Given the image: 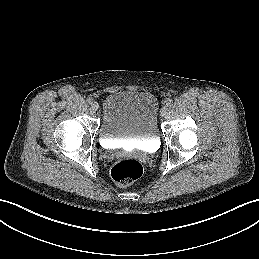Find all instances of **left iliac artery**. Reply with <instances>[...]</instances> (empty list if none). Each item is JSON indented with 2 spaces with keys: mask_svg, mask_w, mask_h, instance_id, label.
Segmentation results:
<instances>
[{
  "mask_svg": "<svg viewBox=\"0 0 259 259\" xmlns=\"http://www.w3.org/2000/svg\"><path fill=\"white\" fill-rule=\"evenodd\" d=\"M172 104H173V101H172L171 99H168V100L166 101V105H167L168 107L172 106Z\"/></svg>",
  "mask_w": 259,
  "mask_h": 259,
  "instance_id": "1",
  "label": "left iliac artery"
}]
</instances>
